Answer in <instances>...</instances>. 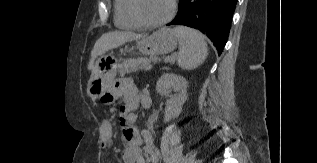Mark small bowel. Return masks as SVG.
Instances as JSON below:
<instances>
[{"label": "small bowel", "instance_id": "small-bowel-1", "mask_svg": "<svg viewBox=\"0 0 317 163\" xmlns=\"http://www.w3.org/2000/svg\"><path fill=\"white\" fill-rule=\"evenodd\" d=\"M118 97L123 100L120 107V120L125 144L122 152L124 163H158L159 152L152 135L149 131L139 130L136 127L137 115L135 111L141 102L137 87L130 80L120 81L113 91V98L117 99ZM112 132V124L109 121H104L101 125V148H111Z\"/></svg>", "mask_w": 317, "mask_h": 163}]
</instances>
